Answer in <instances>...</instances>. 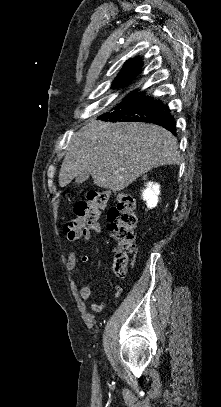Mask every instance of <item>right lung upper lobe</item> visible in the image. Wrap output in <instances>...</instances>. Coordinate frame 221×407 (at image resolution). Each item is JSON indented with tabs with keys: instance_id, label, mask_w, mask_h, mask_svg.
<instances>
[{
	"instance_id": "cb5924a9",
	"label": "right lung upper lobe",
	"mask_w": 221,
	"mask_h": 407,
	"mask_svg": "<svg viewBox=\"0 0 221 407\" xmlns=\"http://www.w3.org/2000/svg\"><path fill=\"white\" fill-rule=\"evenodd\" d=\"M141 67L142 64L139 57L127 61L121 72L115 78L112 84L113 87L118 88L132 81L140 73Z\"/></svg>"
}]
</instances>
